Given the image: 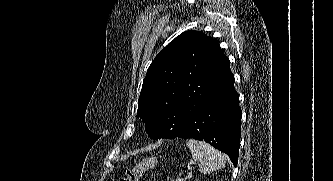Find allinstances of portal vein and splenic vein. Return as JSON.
Segmentation results:
<instances>
[{
	"label": "portal vein and splenic vein",
	"instance_id": "18ae733b",
	"mask_svg": "<svg viewBox=\"0 0 333 181\" xmlns=\"http://www.w3.org/2000/svg\"><path fill=\"white\" fill-rule=\"evenodd\" d=\"M191 178H192V173H188L186 179H191Z\"/></svg>",
	"mask_w": 333,
	"mask_h": 181
}]
</instances>
